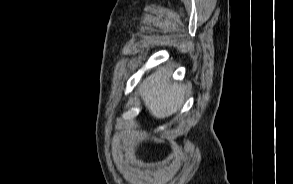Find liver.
<instances>
[{
  "label": "liver",
  "instance_id": "6515ba94",
  "mask_svg": "<svg viewBox=\"0 0 293 184\" xmlns=\"http://www.w3.org/2000/svg\"><path fill=\"white\" fill-rule=\"evenodd\" d=\"M171 68H159L147 77L139 88V93L150 114L164 119L176 113L183 105L184 86L170 82Z\"/></svg>",
  "mask_w": 293,
  "mask_h": 184
}]
</instances>
